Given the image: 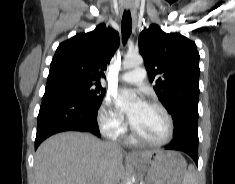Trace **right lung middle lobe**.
I'll use <instances>...</instances> for the list:
<instances>
[{
	"instance_id": "dd1d6c3e",
	"label": "right lung middle lobe",
	"mask_w": 235,
	"mask_h": 184,
	"mask_svg": "<svg viewBox=\"0 0 235 184\" xmlns=\"http://www.w3.org/2000/svg\"><path fill=\"white\" fill-rule=\"evenodd\" d=\"M61 87L77 94L80 98L93 105H101L106 91L101 84L84 82L73 78L64 79Z\"/></svg>"
}]
</instances>
